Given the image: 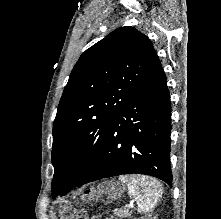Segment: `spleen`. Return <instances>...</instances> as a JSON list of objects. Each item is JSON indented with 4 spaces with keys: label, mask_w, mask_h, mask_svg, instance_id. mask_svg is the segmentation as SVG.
Masks as SVG:
<instances>
[{
    "label": "spleen",
    "mask_w": 221,
    "mask_h": 219,
    "mask_svg": "<svg viewBox=\"0 0 221 219\" xmlns=\"http://www.w3.org/2000/svg\"><path fill=\"white\" fill-rule=\"evenodd\" d=\"M119 179L126 184L128 194L137 200L139 213L151 212L155 208L162 194L160 182L153 178L136 175H122Z\"/></svg>",
    "instance_id": "3e777b00"
}]
</instances>
